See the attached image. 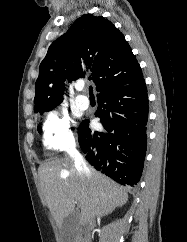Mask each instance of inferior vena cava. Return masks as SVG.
Wrapping results in <instances>:
<instances>
[{
	"instance_id": "1",
	"label": "inferior vena cava",
	"mask_w": 187,
	"mask_h": 242,
	"mask_svg": "<svg viewBox=\"0 0 187 242\" xmlns=\"http://www.w3.org/2000/svg\"><path fill=\"white\" fill-rule=\"evenodd\" d=\"M69 154L74 159L75 167H76V170L78 171V173L81 176H83L87 179H90L92 176L91 171H90L89 167L87 166L85 160L83 159L82 155L76 150L75 147H73L70 150ZM93 223H94V220L92 219L87 224V227L85 229V238L83 239V242H91L90 230H91Z\"/></svg>"
}]
</instances>
